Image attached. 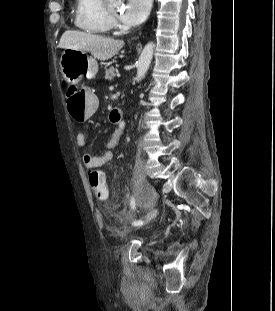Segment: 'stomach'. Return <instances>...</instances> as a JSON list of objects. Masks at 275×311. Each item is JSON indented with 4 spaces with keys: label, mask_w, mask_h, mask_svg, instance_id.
Wrapping results in <instances>:
<instances>
[{
    "label": "stomach",
    "mask_w": 275,
    "mask_h": 311,
    "mask_svg": "<svg viewBox=\"0 0 275 311\" xmlns=\"http://www.w3.org/2000/svg\"><path fill=\"white\" fill-rule=\"evenodd\" d=\"M63 78L68 84H77L84 75L92 79L98 72V63L85 51L66 49L60 59Z\"/></svg>",
    "instance_id": "stomach-1"
}]
</instances>
